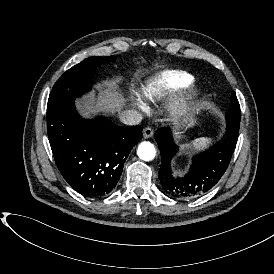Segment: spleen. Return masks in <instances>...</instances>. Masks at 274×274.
<instances>
[{
    "label": "spleen",
    "instance_id": "3e777b00",
    "mask_svg": "<svg viewBox=\"0 0 274 274\" xmlns=\"http://www.w3.org/2000/svg\"><path fill=\"white\" fill-rule=\"evenodd\" d=\"M210 143H211V138L200 137V138L194 139L193 141H191L188 144H185V147L187 149H191V152L193 154V153H197L200 150L207 148Z\"/></svg>",
    "mask_w": 274,
    "mask_h": 274
}]
</instances>
